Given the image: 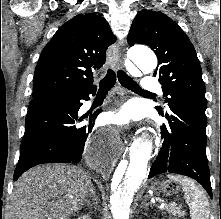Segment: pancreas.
Here are the masks:
<instances>
[{"label": "pancreas", "instance_id": "pancreas-1", "mask_svg": "<svg viewBox=\"0 0 221 219\" xmlns=\"http://www.w3.org/2000/svg\"><path fill=\"white\" fill-rule=\"evenodd\" d=\"M164 210H166L169 214H172L178 217H183L185 215L184 211H181L179 208H175L172 206H165Z\"/></svg>", "mask_w": 221, "mask_h": 219}]
</instances>
